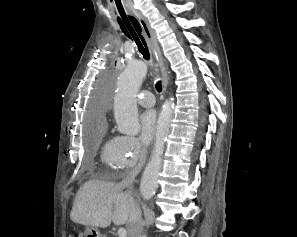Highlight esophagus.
<instances>
[{
  "mask_svg": "<svg viewBox=\"0 0 297 237\" xmlns=\"http://www.w3.org/2000/svg\"><path fill=\"white\" fill-rule=\"evenodd\" d=\"M135 17L142 28L147 44L154 55L157 66L160 69V72L162 75V89H163V94H165L167 91V85H168V74L164 65V61L161 55V51H160L157 39H156V34L154 30L151 28L148 20L142 14L136 13Z\"/></svg>",
  "mask_w": 297,
  "mask_h": 237,
  "instance_id": "1",
  "label": "esophagus"
}]
</instances>
